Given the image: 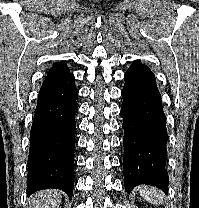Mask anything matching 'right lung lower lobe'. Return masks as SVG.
I'll list each match as a JSON object with an SVG mask.
<instances>
[{
  "instance_id": "1",
  "label": "right lung lower lobe",
  "mask_w": 199,
  "mask_h": 208,
  "mask_svg": "<svg viewBox=\"0 0 199 208\" xmlns=\"http://www.w3.org/2000/svg\"><path fill=\"white\" fill-rule=\"evenodd\" d=\"M77 96L72 74L43 82L30 132L28 194L57 188L72 196Z\"/></svg>"
}]
</instances>
